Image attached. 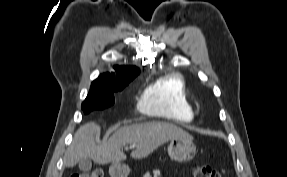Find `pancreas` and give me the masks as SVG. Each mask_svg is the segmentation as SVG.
Returning <instances> with one entry per match:
<instances>
[{"label":"pancreas","instance_id":"1","mask_svg":"<svg viewBox=\"0 0 287 177\" xmlns=\"http://www.w3.org/2000/svg\"><path fill=\"white\" fill-rule=\"evenodd\" d=\"M153 175H154V177L159 176V175H160V171H159V170H154V171H153ZM143 177H152V176H151V174H150L149 172H147V173H145V174L143 175Z\"/></svg>","mask_w":287,"mask_h":177}]
</instances>
